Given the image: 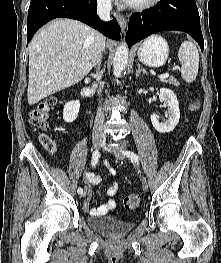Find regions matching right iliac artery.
Segmentation results:
<instances>
[{"label": "right iliac artery", "instance_id": "1", "mask_svg": "<svg viewBox=\"0 0 221 263\" xmlns=\"http://www.w3.org/2000/svg\"><path fill=\"white\" fill-rule=\"evenodd\" d=\"M99 157H100V154H99V151L96 150L94 153H93V157H92V161H91V165L92 166H95L98 161H99ZM77 192L79 194H81L83 192V189L82 188H78Z\"/></svg>", "mask_w": 221, "mask_h": 263}]
</instances>
